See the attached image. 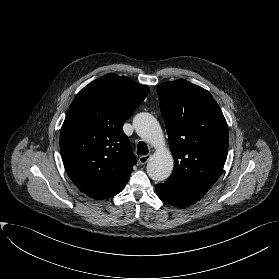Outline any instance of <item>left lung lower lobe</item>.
Segmentation results:
<instances>
[{"instance_id": "1", "label": "left lung lower lobe", "mask_w": 279, "mask_h": 279, "mask_svg": "<svg viewBox=\"0 0 279 279\" xmlns=\"http://www.w3.org/2000/svg\"><path fill=\"white\" fill-rule=\"evenodd\" d=\"M156 193L162 201L179 208L190 206L203 197L200 194L175 187L167 182L157 184Z\"/></svg>"}]
</instances>
